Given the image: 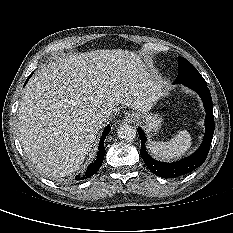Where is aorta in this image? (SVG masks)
I'll use <instances>...</instances> for the list:
<instances>
[{
    "instance_id": "obj_1",
    "label": "aorta",
    "mask_w": 233,
    "mask_h": 233,
    "mask_svg": "<svg viewBox=\"0 0 233 233\" xmlns=\"http://www.w3.org/2000/svg\"><path fill=\"white\" fill-rule=\"evenodd\" d=\"M117 135L120 140L132 142L137 136V131L133 126L124 124L119 127Z\"/></svg>"
}]
</instances>
